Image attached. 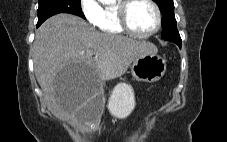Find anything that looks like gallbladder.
Wrapping results in <instances>:
<instances>
[{"label":"gallbladder","instance_id":"bac80fb5","mask_svg":"<svg viewBox=\"0 0 227 142\" xmlns=\"http://www.w3.org/2000/svg\"><path fill=\"white\" fill-rule=\"evenodd\" d=\"M103 97V93H96L95 98L90 100L84 107L81 108V112L78 113V118L97 123L104 107Z\"/></svg>","mask_w":227,"mask_h":142}]
</instances>
